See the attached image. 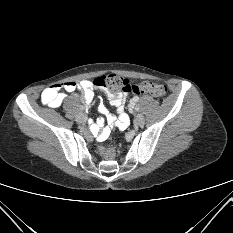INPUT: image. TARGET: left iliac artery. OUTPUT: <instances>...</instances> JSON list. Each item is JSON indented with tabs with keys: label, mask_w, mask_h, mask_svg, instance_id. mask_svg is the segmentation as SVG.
Masks as SVG:
<instances>
[{
	"label": "left iliac artery",
	"mask_w": 233,
	"mask_h": 233,
	"mask_svg": "<svg viewBox=\"0 0 233 233\" xmlns=\"http://www.w3.org/2000/svg\"><path fill=\"white\" fill-rule=\"evenodd\" d=\"M133 100L135 102H137L139 100V98L138 97H134ZM135 111H139V107H135Z\"/></svg>",
	"instance_id": "left-iliac-artery-1"
}]
</instances>
